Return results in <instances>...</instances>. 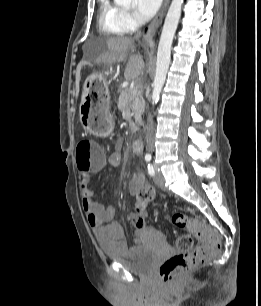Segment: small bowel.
<instances>
[{
  "instance_id": "obj_1",
  "label": "small bowel",
  "mask_w": 261,
  "mask_h": 306,
  "mask_svg": "<svg viewBox=\"0 0 261 306\" xmlns=\"http://www.w3.org/2000/svg\"><path fill=\"white\" fill-rule=\"evenodd\" d=\"M122 149V142L117 140L112 153L101 164L89 170L82 171L79 176V181L82 204L99 245L106 252L124 255L129 250V246L125 241L124 229L119 223L114 221V208L112 206H106L95 199V193L91 188L90 182L91 172L100 171L106 166H119ZM144 181V175L141 172H133L129 183L130 193L137 197L138 190L144 185ZM136 216V213H131L129 219L133 220Z\"/></svg>"
}]
</instances>
